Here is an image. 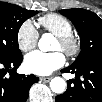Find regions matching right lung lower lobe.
<instances>
[{"mask_svg": "<svg viewBox=\"0 0 102 102\" xmlns=\"http://www.w3.org/2000/svg\"><path fill=\"white\" fill-rule=\"evenodd\" d=\"M23 60L22 54L12 58H0V97L3 102H26L29 89L39 78L16 72Z\"/></svg>", "mask_w": 102, "mask_h": 102, "instance_id": "obj_1", "label": "right lung lower lobe"}]
</instances>
